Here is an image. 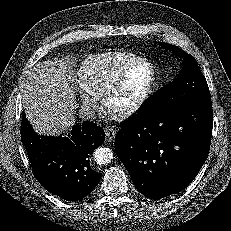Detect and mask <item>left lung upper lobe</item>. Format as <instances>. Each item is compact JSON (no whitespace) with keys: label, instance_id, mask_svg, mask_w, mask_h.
I'll use <instances>...</instances> for the list:
<instances>
[{"label":"left lung upper lobe","instance_id":"1","mask_svg":"<svg viewBox=\"0 0 231 231\" xmlns=\"http://www.w3.org/2000/svg\"><path fill=\"white\" fill-rule=\"evenodd\" d=\"M159 45L182 57L183 68L172 83L146 101L139 111L140 114L156 116L191 101L211 100L207 81L195 58L174 45L163 42H159Z\"/></svg>","mask_w":231,"mask_h":231}]
</instances>
